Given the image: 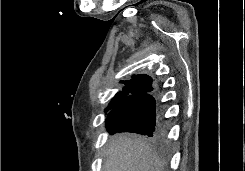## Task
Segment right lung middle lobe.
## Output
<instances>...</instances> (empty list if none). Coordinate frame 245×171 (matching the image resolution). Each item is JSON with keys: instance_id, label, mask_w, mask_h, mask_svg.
<instances>
[{"instance_id": "1", "label": "right lung middle lobe", "mask_w": 245, "mask_h": 171, "mask_svg": "<svg viewBox=\"0 0 245 171\" xmlns=\"http://www.w3.org/2000/svg\"><path fill=\"white\" fill-rule=\"evenodd\" d=\"M114 107H115V105H109V106L107 107V109H106V112H107L108 110L113 109Z\"/></svg>"}]
</instances>
